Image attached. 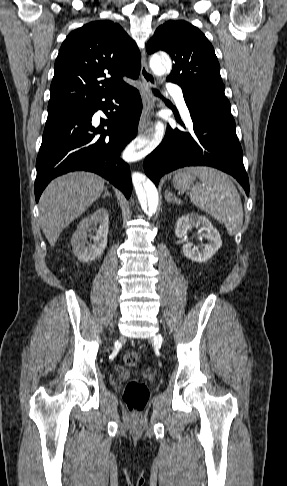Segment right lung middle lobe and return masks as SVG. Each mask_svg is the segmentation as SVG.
Segmentation results:
<instances>
[{
  "mask_svg": "<svg viewBox=\"0 0 287 486\" xmlns=\"http://www.w3.org/2000/svg\"><path fill=\"white\" fill-rule=\"evenodd\" d=\"M78 110V107L74 108H66V109H56V110H48V118L47 120H51L65 114H69Z\"/></svg>",
  "mask_w": 287,
  "mask_h": 486,
  "instance_id": "right-lung-middle-lobe-1",
  "label": "right lung middle lobe"
}]
</instances>
